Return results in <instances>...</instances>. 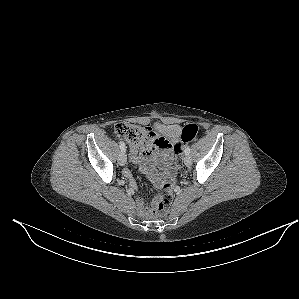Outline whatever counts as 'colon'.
I'll use <instances>...</instances> for the list:
<instances>
[{
  "label": "colon",
  "instance_id": "colon-1",
  "mask_svg": "<svg viewBox=\"0 0 299 299\" xmlns=\"http://www.w3.org/2000/svg\"><path fill=\"white\" fill-rule=\"evenodd\" d=\"M114 133L124 138L130 145L141 147L148 136V128L136 124L120 122L117 123L114 128ZM200 127L196 124H187L183 127L181 131L180 141L174 145L173 151L175 154V167L180 169L183 164V148L184 145L192 140H194L198 133ZM173 190L171 185L166 184L164 186V192L162 195L156 197L154 200L153 212L156 215L162 214L167 206L173 200Z\"/></svg>",
  "mask_w": 299,
  "mask_h": 299
}]
</instances>
